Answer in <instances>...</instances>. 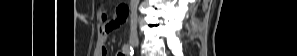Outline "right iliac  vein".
<instances>
[{"mask_svg": "<svg viewBox=\"0 0 297 56\" xmlns=\"http://www.w3.org/2000/svg\"><path fill=\"white\" fill-rule=\"evenodd\" d=\"M130 44L132 46H138L139 45V40L136 36H131L130 37Z\"/></svg>", "mask_w": 297, "mask_h": 56, "instance_id": "obj_1", "label": "right iliac vein"}]
</instances>
